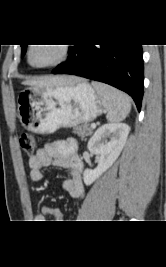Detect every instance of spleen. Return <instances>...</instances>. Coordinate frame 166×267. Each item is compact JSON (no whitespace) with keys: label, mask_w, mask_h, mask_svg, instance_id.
Segmentation results:
<instances>
[{"label":"spleen","mask_w":166,"mask_h":267,"mask_svg":"<svg viewBox=\"0 0 166 267\" xmlns=\"http://www.w3.org/2000/svg\"><path fill=\"white\" fill-rule=\"evenodd\" d=\"M92 85L99 94L107 111V120L109 122L124 120L131 110V101L128 95L102 83L93 82Z\"/></svg>","instance_id":"obj_1"}]
</instances>
